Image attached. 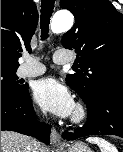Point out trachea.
Segmentation results:
<instances>
[{"label":"trachea","mask_w":123,"mask_h":152,"mask_svg":"<svg viewBox=\"0 0 123 152\" xmlns=\"http://www.w3.org/2000/svg\"><path fill=\"white\" fill-rule=\"evenodd\" d=\"M41 37L48 38L50 18L53 13L55 0H41Z\"/></svg>","instance_id":"trachea-1"}]
</instances>
